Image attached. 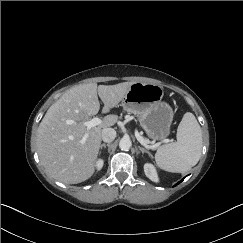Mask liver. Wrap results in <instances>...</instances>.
<instances>
[{
  "label": "liver",
  "instance_id": "6515ba94",
  "mask_svg": "<svg viewBox=\"0 0 243 243\" xmlns=\"http://www.w3.org/2000/svg\"><path fill=\"white\" fill-rule=\"evenodd\" d=\"M131 84L77 85L48 109L37 130V150L49 175L66 184L81 183L93 175L102 130L113 126L118 116L106 115L100 125L90 129L84 122L99 112L98 96L104 103L102 112L108 113L122 101Z\"/></svg>",
  "mask_w": 243,
  "mask_h": 243
}]
</instances>
